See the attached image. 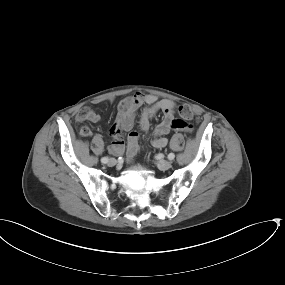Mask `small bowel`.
Returning a JSON list of instances; mask_svg holds the SVG:
<instances>
[{"instance_id":"c3829d8e","label":"small bowel","mask_w":285,"mask_h":285,"mask_svg":"<svg viewBox=\"0 0 285 285\" xmlns=\"http://www.w3.org/2000/svg\"><path fill=\"white\" fill-rule=\"evenodd\" d=\"M142 105H147L140 115V128L144 132L149 130L150 121L154 115L158 112L163 113L162 120L153 131L154 139L152 143L156 148H163L167 145L168 140L164 135L171 131L177 132L187 129L188 126L185 122L174 118L175 101L168 98L159 100L153 94L136 92L123 98L118 104L117 114L110 129L114 138V142L109 147L111 152L120 154L124 151L123 133L132 130L135 122V113ZM75 120L78 123H98L101 121V117L95 110L86 107L76 113ZM80 133L85 137L92 134L91 129L86 125L81 127ZM139 149L138 134L132 131L127 138V160L131 161L137 155Z\"/></svg>"}]
</instances>
